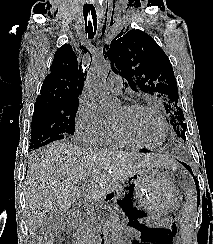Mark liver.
<instances>
[{
    "instance_id": "1",
    "label": "liver",
    "mask_w": 213,
    "mask_h": 244,
    "mask_svg": "<svg viewBox=\"0 0 213 244\" xmlns=\"http://www.w3.org/2000/svg\"><path fill=\"white\" fill-rule=\"evenodd\" d=\"M170 165L154 153L92 151L66 141L35 153L26 177V212L30 234L51 210L67 213L81 196L80 183H90L86 201H102L136 170Z\"/></svg>"
}]
</instances>
